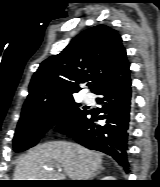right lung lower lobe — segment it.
<instances>
[{"label":"right lung lower lobe","instance_id":"98d812e1","mask_svg":"<svg viewBox=\"0 0 160 187\" xmlns=\"http://www.w3.org/2000/svg\"><path fill=\"white\" fill-rule=\"evenodd\" d=\"M129 66L95 92L102 109L89 110L87 117L68 134L86 148L112 156L126 171L129 167L126 150L131 100Z\"/></svg>","mask_w":160,"mask_h":187}]
</instances>
